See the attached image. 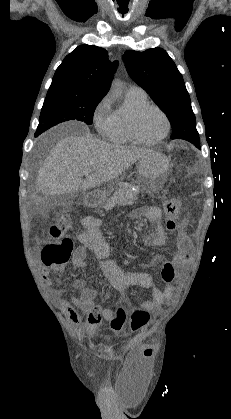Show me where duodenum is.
<instances>
[{
	"label": "duodenum",
	"instance_id": "duodenum-1",
	"mask_svg": "<svg viewBox=\"0 0 231 419\" xmlns=\"http://www.w3.org/2000/svg\"><path fill=\"white\" fill-rule=\"evenodd\" d=\"M99 201V196L96 193H89L85 197V204L87 207H94Z\"/></svg>",
	"mask_w": 231,
	"mask_h": 419
}]
</instances>
